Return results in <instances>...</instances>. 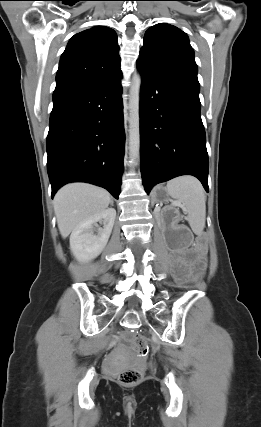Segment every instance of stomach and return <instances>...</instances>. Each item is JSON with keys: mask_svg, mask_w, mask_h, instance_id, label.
I'll return each instance as SVG.
<instances>
[{"mask_svg": "<svg viewBox=\"0 0 261 427\" xmlns=\"http://www.w3.org/2000/svg\"><path fill=\"white\" fill-rule=\"evenodd\" d=\"M168 196L169 194L166 188L159 186L154 190L152 194V200L155 202H166L168 201Z\"/></svg>", "mask_w": 261, "mask_h": 427, "instance_id": "0dacf381", "label": "stomach"}]
</instances>
